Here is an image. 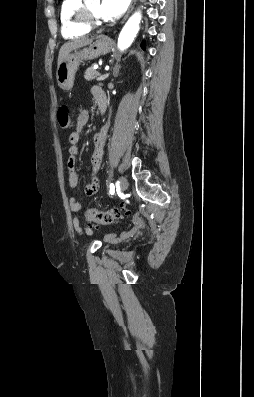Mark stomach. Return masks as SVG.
Returning a JSON list of instances; mask_svg holds the SVG:
<instances>
[{
    "label": "stomach",
    "instance_id": "1",
    "mask_svg": "<svg viewBox=\"0 0 254 397\" xmlns=\"http://www.w3.org/2000/svg\"><path fill=\"white\" fill-rule=\"evenodd\" d=\"M112 41L105 36L98 38L89 47L69 53L58 65L56 79L58 86L63 90L73 87L75 74L80 63L84 60H93L110 52Z\"/></svg>",
    "mask_w": 254,
    "mask_h": 397
}]
</instances>
